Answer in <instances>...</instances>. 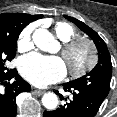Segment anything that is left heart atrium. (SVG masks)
Here are the masks:
<instances>
[{
    "instance_id": "1",
    "label": "left heart atrium",
    "mask_w": 117,
    "mask_h": 117,
    "mask_svg": "<svg viewBox=\"0 0 117 117\" xmlns=\"http://www.w3.org/2000/svg\"><path fill=\"white\" fill-rule=\"evenodd\" d=\"M20 72L32 84L44 87L63 79L66 75V65L58 57L32 53L21 59Z\"/></svg>"
}]
</instances>
